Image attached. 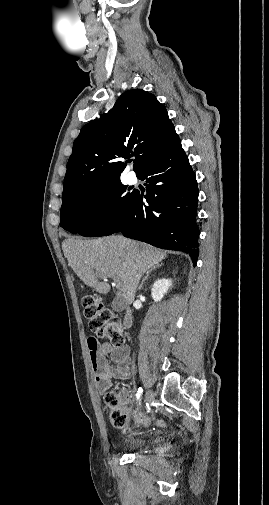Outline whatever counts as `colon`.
<instances>
[{
  "label": "colon",
  "instance_id": "1",
  "mask_svg": "<svg viewBox=\"0 0 269 505\" xmlns=\"http://www.w3.org/2000/svg\"><path fill=\"white\" fill-rule=\"evenodd\" d=\"M83 313L88 320L90 330L101 339L109 340L119 347L123 344V325L121 320L105 308L96 295H86L82 299ZM111 407V420L115 427L122 428L126 423V415L116 407L111 395L106 397Z\"/></svg>",
  "mask_w": 269,
  "mask_h": 505
}]
</instances>
